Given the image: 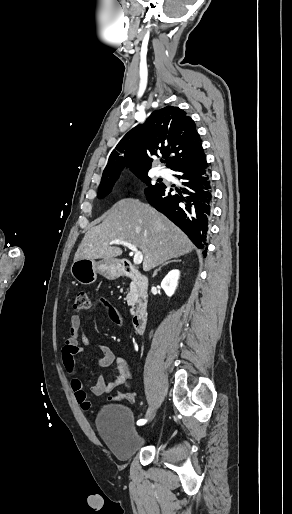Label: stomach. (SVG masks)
Listing matches in <instances>:
<instances>
[{"mask_svg": "<svg viewBox=\"0 0 292 514\" xmlns=\"http://www.w3.org/2000/svg\"><path fill=\"white\" fill-rule=\"evenodd\" d=\"M71 274L79 284H94L97 274H101L107 280H117L123 274V266L116 258H103L100 262L95 260H76L71 266Z\"/></svg>", "mask_w": 292, "mask_h": 514, "instance_id": "stomach-1", "label": "stomach"}]
</instances>
